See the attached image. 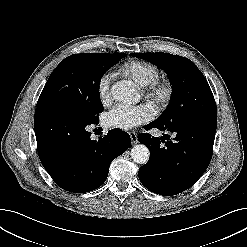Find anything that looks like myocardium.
I'll return each instance as SVG.
<instances>
[{
  "label": "myocardium",
  "mask_w": 247,
  "mask_h": 247,
  "mask_svg": "<svg viewBox=\"0 0 247 247\" xmlns=\"http://www.w3.org/2000/svg\"><path fill=\"white\" fill-rule=\"evenodd\" d=\"M174 87L170 81L155 80L149 85L148 94L152 101L158 106L167 105L172 99Z\"/></svg>",
  "instance_id": "myocardium-1"
}]
</instances>
